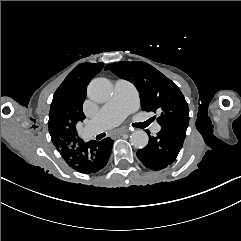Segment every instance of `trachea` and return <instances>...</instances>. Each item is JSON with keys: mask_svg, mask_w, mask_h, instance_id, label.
<instances>
[{"mask_svg": "<svg viewBox=\"0 0 241 241\" xmlns=\"http://www.w3.org/2000/svg\"><path fill=\"white\" fill-rule=\"evenodd\" d=\"M103 136H104L103 134L97 135V136H96V139L99 140V139H101Z\"/></svg>", "mask_w": 241, "mask_h": 241, "instance_id": "3493384b", "label": "trachea"}]
</instances>
